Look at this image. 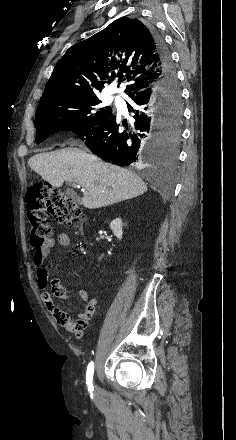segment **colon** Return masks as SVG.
I'll return each instance as SVG.
<instances>
[{
  "mask_svg": "<svg viewBox=\"0 0 236 440\" xmlns=\"http://www.w3.org/2000/svg\"><path fill=\"white\" fill-rule=\"evenodd\" d=\"M25 201L31 225V243L34 247L41 246L52 233L49 215L66 225L84 218L82 209L72 198L46 183L29 187ZM61 321L73 320L67 318Z\"/></svg>",
  "mask_w": 236,
  "mask_h": 440,
  "instance_id": "1",
  "label": "colon"
}]
</instances>
